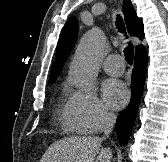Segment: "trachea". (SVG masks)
<instances>
[{
  "label": "trachea",
  "instance_id": "obj_1",
  "mask_svg": "<svg viewBox=\"0 0 168 162\" xmlns=\"http://www.w3.org/2000/svg\"><path fill=\"white\" fill-rule=\"evenodd\" d=\"M116 25H117L119 32L126 34L124 22L120 16L117 18ZM124 56H125L126 61L129 64L133 63L134 48L130 42H129V45L124 49Z\"/></svg>",
  "mask_w": 168,
  "mask_h": 162
}]
</instances>
